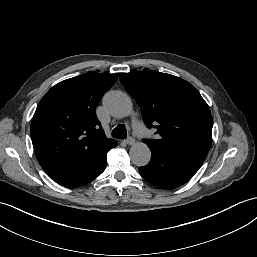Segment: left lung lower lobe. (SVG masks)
<instances>
[{
  "label": "left lung lower lobe",
  "mask_w": 257,
  "mask_h": 257,
  "mask_svg": "<svg viewBox=\"0 0 257 257\" xmlns=\"http://www.w3.org/2000/svg\"><path fill=\"white\" fill-rule=\"evenodd\" d=\"M149 148L151 161L140 167L139 172L148 182L162 189H173L190 180L208 154L200 149L167 151Z\"/></svg>",
  "instance_id": "0a47b994"
}]
</instances>
